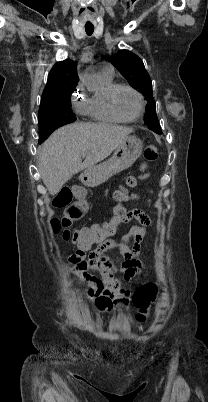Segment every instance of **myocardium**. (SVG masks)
I'll use <instances>...</instances> for the list:
<instances>
[{"label": "myocardium", "mask_w": 208, "mask_h": 402, "mask_svg": "<svg viewBox=\"0 0 208 402\" xmlns=\"http://www.w3.org/2000/svg\"><path fill=\"white\" fill-rule=\"evenodd\" d=\"M122 89H127V90L132 91L134 94L137 95V97L140 100V110H139V113L135 117H132V118L123 117L116 109L115 97H116V94ZM108 106H109V109H110L111 113L113 114V116L115 118H117L119 121H121V122H135L138 119H140L142 117L143 113H144L145 99H144V96L142 95V93H140L138 90H136L132 86L120 84V85L114 86L110 90V92L108 94Z\"/></svg>", "instance_id": "myocardium-1"}]
</instances>
